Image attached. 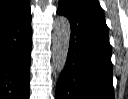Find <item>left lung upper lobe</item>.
Returning a JSON list of instances; mask_svg holds the SVG:
<instances>
[{
	"label": "left lung upper lobe",
	"mask_w": 128,
	"mask_h": 99,
	"mask_svg": "<svg viewBox=\"0 0 128 99\" xmlns=\"http://www.w3.org/2000/svg\"><path fill=\"white\" fill-rule=\"evenodd\" d=\"M78 1L86 3V4H89V5H92V6L96 7V8L101 9L98 0H78Z\"/></svg>",
	"instance_id": "left-lung-upper-lobe-1"
}]
</instances>
